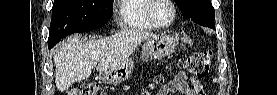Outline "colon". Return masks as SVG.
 Returning a JSON list of instances; mask_svg holds the SVG:
<instances>
[{"label":"colon","instance_id":"5ec220e1","mask_svg":"<svg viewBox=\"0 0 277 95\" xmlns=\"http://www.w3.org/2000/svg\"><path fill=\"white\" fill-rule=\"evenodd\" d=\"M212 52L206 50L187 56L183 60L185 69L196 77L206 76L211 67ZM102 88L94 82L79 81L72 84L67 95H101Z\"/></svg>","mask_w":277,"mask_h":95}]
</instances>
